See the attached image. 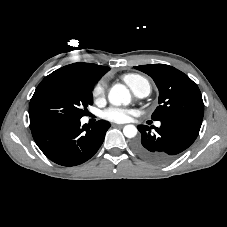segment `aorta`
I'll return each mask as SVG.
<instances>
[{"instance_id": "aorta-1", "label": "aorta", "mask_w": 227, "mask_h": 227, "mask_svg": "<svg viewBox=\"0 0 227 227\" xmlns=\"http://www.w3.org/2000/svg\"><path fill=\"white\" fill-rule=\"evenodd\" d=\"M109 102L112 105L119 106V105H128L131 100L130 93L126 86L122 84L114 85L108 94ZM123 133L127 138H133L137 134V128L134 125H126L123 128Z\"/></svg>"}]
</instances>
